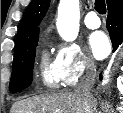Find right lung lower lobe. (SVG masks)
I'll list each match as a JSON object with an SVG mask.
<instances>
[{
  "label": "right lung lower lobe",
  "instance_id": "right-lung-lower-lobe-1",
  "mask_svg": "<svg viewBox=\"0 0 123 113\" xmlns=\"http://www.w3.org/2000/svg\"><path fill=\"white\" fill-rule=\"evenodd\" d=\"M107 6V29L115 51L123 43V0H109Z\"/></svg>",
  "mask_w": 123,
  "mask_h": 113
}]
</instances>
